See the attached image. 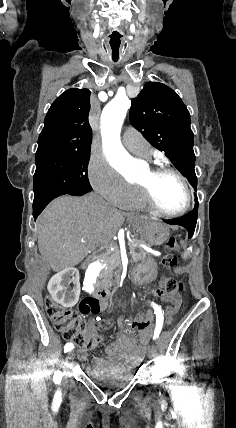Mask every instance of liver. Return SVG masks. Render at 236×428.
<instances>
[{
  "label": "liver",
  "mask_w": 236,
  "mask_h": 428,
  "mask_svg": "<svg viewBox=\"0 0 236 428\" xmlns=\"http://www.w3.org/2000/svg\"><path fill=\"white\" fill-rule=\"evenodd\" d=\"M131 214L111 208L97 194L82 198L60 196L53 200L37 220L38 248L54 272L73 268L97 246L113 244L120 226ZM139 224H146L139 216Z\"/></svg>",
  "instance_id": "obj_1"
}]
</instances>
